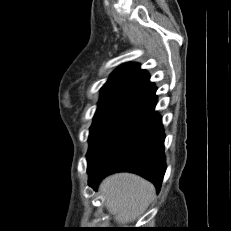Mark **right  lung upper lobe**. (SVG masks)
Segmentation results:
<instances>
[{
  "label": "right lung upper lobe",
  "instance_id": "right-lung-upper-lobe-1",
  "mask_svg": "<svg viewBox=\"0 0 231 231\" xmlns=\"http://www.w3.org/2000/svg\"><path fill=\"white\" fill-rule=\"evenodd\" d=\"M139 66L137 63H126L118 67L102 87L101 99L132 98L155 105L156 87L149 81L148 73Z\"/></svg>",
  "mask_w": 231,
  "mask_h": 231
}]
</instances>
